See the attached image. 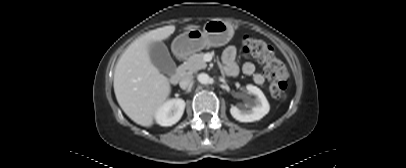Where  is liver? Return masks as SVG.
Returning <instances> with one entry per match:
<instances>
[{"label":"liver","mask_w":406,"mask_h":168,"mask_svg":"<svg viewBox=\"0 0 406 168\" xmlns=\"http://www.w3.org/2000/svg\"><path fill=\"white\" fill-rule=\"evenodd\" d=\"M191 25L185 30L196 29ZM175 26L151 30L129 45L118 60L114 72V92L118 104L135 123L151 127L158 109L166 103L171 86L150 59L149 47L153 42L169 38Z\"/></svg>","instance_id":"6515ba94"}]
</instances>
